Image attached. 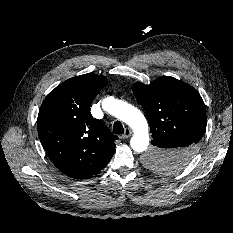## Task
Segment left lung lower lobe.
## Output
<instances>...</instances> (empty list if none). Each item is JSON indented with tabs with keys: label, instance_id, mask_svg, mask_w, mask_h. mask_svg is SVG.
<instances>
[{
	"label": "left lung lower lobe",
	"instance_id": "obj_1",
	"mask_svg": "<svg viewBox=\"0 0 233 233\" xmlns=\"http://www.w3.org/2000/svg\"><path fill=\"white\" fill-rule=\"evenodd\" d=\"M156 145L164 147L172 153L168 160L174 164L186 163L189 161L191 154L187 152L190 148L189 140L178 136H164L155 138Z\"/></svg>",
	"mask_w": 233,
	"mask_h": 233
}]
</instances>
